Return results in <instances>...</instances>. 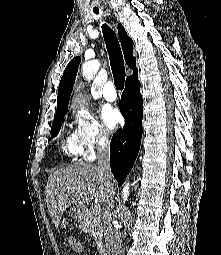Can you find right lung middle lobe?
Returning <instances> with one entry per match:
<instances>
[{
	"label": "right lung middle lobe",
	"instance_id": "1",
	"mask_svg": "<svg viewBox=\"0 0 221 255\" xmlns=\"http://www.w3.org/2000/svg\"><path fill=\"white\" fill-rule=\"evenodd\" d=\"M65 113L66 111L56 113L52 124L51 137H55L59 133Z\"/></svg>",
	"mask_w": 221,
	"mask_h": 255
}]
</instances>
